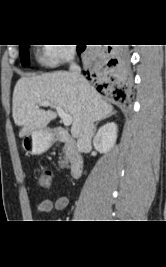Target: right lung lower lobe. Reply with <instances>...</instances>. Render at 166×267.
<instances>
[{"instance_id":"1","label":"right lung lower lobe","mask_w":166,"mask_h":267,"mask_svg":"<svg viewBox=\"0 0 166 267\" xmlns=\"http://www.w3.org/2000/svg\"><path fill=\"white\" fill-rule=\"evenodd\" d=\"M86 49V45H77L78 54ZM127 51L123 47H108L102 59L101 67L90 64L84 71L87 79L91 80L96 89L104 94L114 97L115 100L124 101L127 98L129 80L127 72Z\"/></svg>"}]
</instances>
